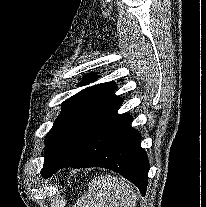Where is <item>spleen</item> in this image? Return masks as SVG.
Returning a JSON list of instances; mask_svg holds the SVG:
<instances>
[{
    "label": "spleen",
    "mask_w": 206,
    "mask_h": 207,
    "mask_svg": "<svg viewBox=\"0 0 206 207\" xmlns=\"http://www.w3.org/2000/svg\"><path fill=\"white\" fill-rule=\"evenodd\" d=\"M137 194L123 179L101 175L92 180L74 207H135Z\"/></svg>",
    "instance_id": "1"
}]
</instances>
